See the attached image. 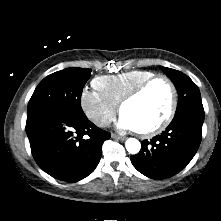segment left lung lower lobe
I'll list each match as a JSON object with an SVG mask.
<instances>
[{"label": "left lung lower lobe", "instance_id": "0a47b994", "mask_svg": "<svg viewBox=\"0 0 221 221\" xmlns=\"http://www.w3.org/2000/svg\"><path fill=\"white\" fill-rule=\"evenodd\" d=\"M204 122L203 108H188L175 116L161 135L141 142L138 154L131 156L133 166L152 179H165L181 171L196 154Z\"/></svg>", "mask_w": 221, "mask_h": 221}]
</instances>
